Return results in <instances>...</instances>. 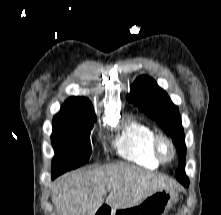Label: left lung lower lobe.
I'll list each match as a JSON object with an SVG mask.
<instances>
[{
  "instance_id": "left-lung-lower-lobe-1",
  "label": "left lung lower lobe",
  "mask_w": 221,
  "mask_h": 215,
  "mask_svg": "<svg viewBox=\"0 0 221 215\" xmlns=\"http://www.w3.org/2000/svg\"><path fill=\"white\" fill-rule=\"evenodd\" d=\"M182 185H184L185 187L189 186V182L183 181V180H178Z\"/></svg>"
}]
</instances>
